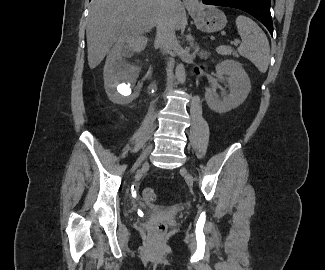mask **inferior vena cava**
Listing matches in <instances>:
<instances>
[{"instance_id":"1","label":"inferior vena cava","mask_w":325,"mask_h":270,"mask_svg":"<svg viewBox=\"0 0 325 270\" xmlns=\"http://www.w3.org/2000/svg\"><path fill=\"white\" fill-rule=\"evenodd\" d=\"M179 0H161V12L157 21L156 43L165 53H171L177 45L175 35V23L173 19V6ZM167 87L166 90H172L174 83L173 59L170 58L167 63Z\"/></svg>"}]
</instances>
